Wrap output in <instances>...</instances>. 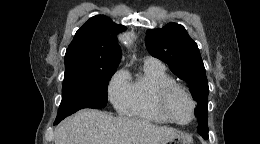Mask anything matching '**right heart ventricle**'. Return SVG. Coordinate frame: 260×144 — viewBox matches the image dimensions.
Instances as JSON below:
<instances>
[{
	"mask_svg": "<svg viewBox=\"0 0 260 144\" xmlns=\"http://www.w3.org/2000/svg\"><path fill=\"white\" fill-rule=\"evenodd\" d=\"M170 83L175 81L163 66L144 62L141 76L130 82V98L125 114L139 120L166 123L154 107V97L159 87Z\"/></svg>",
	"mask_w": 260,
	"mask_h": 144,
	"instance_id": "1",
	"label": "right heart ventricle"
}]
</instances>
